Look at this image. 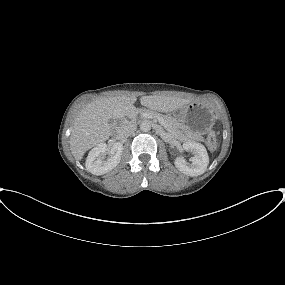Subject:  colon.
<instances>
[{
  "label": "colon",
  "mask_w": 285,
  "mask_h": 285,
  "mask_svg": "<svg viewBox=\"0 0 285 285\" xmlns=\"http://www.w3.org/2000/svg\"><path fill=\"white\" fill-rule=\"evenodd\" d=\"M207 143H208V146L212 149L216 147V135L213 131L209 132L207 136Z\"/></svg>",
  "instance_id": "5ec220e1"
}]
</instances>
